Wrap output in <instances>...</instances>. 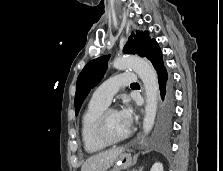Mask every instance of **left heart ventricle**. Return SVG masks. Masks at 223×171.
Masks as SVG:
<instances>
[{
	"mask_svg": "<svg viewBox=\"0 0 223 171\" xmlns=\"http://www.w3.org/2000/svg\"><path fill=\"white\" fill-rule=\"evenodd\" d=\"M105 129L110 138L118 139L128 132L129 127L124 123L118 112H112L106 119Z\"/></svg>",
	"mask_w": 223,
	"mask_h": 171,
	"instance_id": "obj_1",
	"label": "left heart ventricle"
}]
</instances>
